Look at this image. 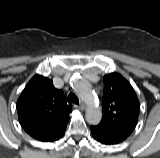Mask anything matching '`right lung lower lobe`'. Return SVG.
Segmentation results:
<instances>
[{
  "label": "right lung lower lobe",
  "mask_w": 160,
  "mask_h": 158,
  "mask_svg": "<svg viewBox=\"0 0 160 158\" xmlns=\"http://www.w3.org/2000/svg\"><path fill=\"white\" fill-rule=\"evenodd\" d=\"M64 133V132H63ZM63 133L61 135H59L58 137L54 138L53 140H51L50 142L52 141H55V140H58L60 137H62Z\"/></svg>",
  "instance_id": "obj_1"
}]
</instances>
